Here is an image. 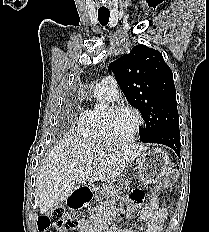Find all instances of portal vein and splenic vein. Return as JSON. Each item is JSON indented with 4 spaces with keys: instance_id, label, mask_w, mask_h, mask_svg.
I'll return each instance as SVG.
<instances>
[{
    "instance_id": "1",
    "label": "portal vein and splenic vein",
    "mask_w": 209,
    "mask_h": 232,
    "mask_svg": "<svg viewBox=\"0 0 209 232\" xmlns=\"http://www.w3.org/2000/svg\"><path fill=\"white\" fill-rule=\"evenodd\" d=\"M97 164H98V161H93V162H92V165H93V166H96Z\"/></svg>"
}]
</instances>
